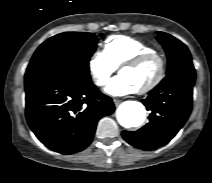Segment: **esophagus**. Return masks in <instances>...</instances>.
Returning a JSON list of instances; mask_svg holds the SVG:
<instances>
[{"label": "esophagus", "instance_id": "esophagus-1", "mask_svg": "<svg viewBox=\"0 0 212 183\" xmlns=\"http://www.w3.org/2000/svg\"><path fill=\"white\" fill-rule=\"evenodd\" d=\"M113 102H114L115 106H118L121 103V100L113 99Z\"/></svg>", "mask_w": 212, "mask_h": 183}]
</instances>
